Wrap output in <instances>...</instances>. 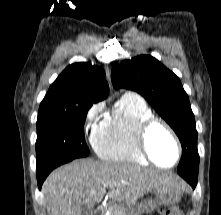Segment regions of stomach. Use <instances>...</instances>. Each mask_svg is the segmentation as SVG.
<instances>
[{
  "label": "stomach",
  "mask_w": 221,
  "mask_h": 215,
  "mask_svg": "<svg viewBox=\"0 0 221 215\" xmlns=\"http://www.w3.org/2000/svg\"><path fill=\"white\" fill-rule=\"evenodd\" d=\"M181 199V190L177 188H163L153 190L151 197L142 203H132L123 206L126 215H141L142 213H152L161 206H172Z\"/></svg>",
  "instance_id": "stomach-1"
}]
</instances>
